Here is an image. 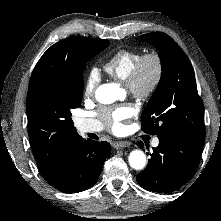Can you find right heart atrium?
Returning <instances> with one entry per match:
<instances>
[{
	"mask_svg": "<svg viewBox=\"0 0 221 221\" xmlns=\"http://www.w3.org/2000/svg\"><path fill=\"white\" fill-rule=\"evenodd\" d=\"M99 81H100V76L97 70L91 69L86 76L84 84V95L86 97H91L94 94L99 84Z\"/></svg>",
	"mask_w": 221,
	"mask_h": 221,
	"instance_id": "1",
	"label": "right heart atrium"
}]
</instances>
